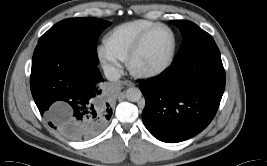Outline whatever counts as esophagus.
I'll return each mask as SVG.
<instances>
[{"instance_id": "obj_1", "label": "esophagus", "mask_w": 267, "mask_h": 166, "mask_svg": "<svg viewBox=\"0 0 267 166\" xmlns=\"http://www.w3.org/2000/svg\"><path fill=\"white\" fill-rule=\"evenodd\" d=\"M126 86H134V83L129 81V80H126L123 82Z\"/></svg>"}]
</instances>
